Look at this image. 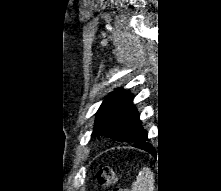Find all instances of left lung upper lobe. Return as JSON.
<instances>
[{"mask_svg":"<svg viewBox=\"0 0 221 191\" xmlns=\"http://www.w3.org/2000/svg\"><path fill=\"white\" fill-rule=\"evenodd\" d=\"M132 96L120 88L110 93L97 111L92 135L110 137L116 141L132 142L134 147L152 146L140 122L132 117Z\"/></svg>","mask_w":221,"mask_h":191,"instance_id":"5c2ea615","label":"left lung upper lobe"}]
</instances>
